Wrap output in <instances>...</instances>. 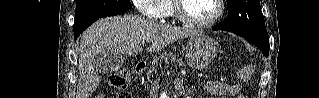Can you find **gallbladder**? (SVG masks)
Segmentation results:
<instances>
[{
    "label": "gallbladder",
    "instance_id": "1",
    "mask_svg": "<svg viewBox=\"0 0 319 98\" xmlns=\"http://www.w3.org/2000/svg\"><path fill=\"white\" fill-rule=\"evenodd\" d=\"M94 62L98 72L107 74L119 70L124 64V57L122 54L106 51L99 53Z\"/></svg>",
    "mask_w": 319,
    "mask_h": 98
}]
</instances>
